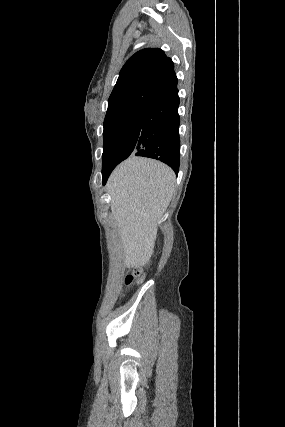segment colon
Wrapping results in <instances>:
<instances>
[{
    "instance_id": "1",
    "label": "colon",
    "mask_w": 285,
    "mask_h": 427,
    "mask_svg": "<svg viewBox=\"0 0 285 427\" xmlns=\"http://www.w3.org/2000/svg\"><path fill=\"white\" fill-rule=\"evenodd\" d=\"M148 263L146 261H140L134 263L131 266L130 273L125 278V284L131 286L135 283H141L144 278V271L146 270Z\"/></svg>"
}]
</instances>
